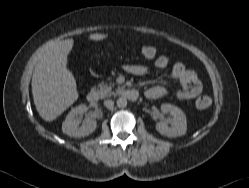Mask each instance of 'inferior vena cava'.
I'll return each instance as SVG.
<instances>
[{
  "mask_svg": "<svg viewBox=\"0 0 249 188\" xmlns=\"http://www.w3.org/2000/svg\"><path fill=\"white\" fill-rule=\"evenodd\" d=\"M104 106L108 109H112L114 107V102L113 100H106L104 101Z\"/></svg>",
  "mask_w": 249,
  "mask_h": 188,
  "instance_id": "602c4592",
  "label": "inferior vena cava"
}]
</instances>
